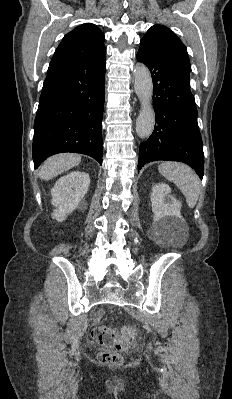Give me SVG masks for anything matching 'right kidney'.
Returning a JSON list of instances; mask_svg holds the SVG:
<instances>
[{
	"instance_id": "obj_1",
	"label": "right kidney",
	"mask_w": 232,
	"mask_h": 399,
	"mask_svg": "<svg viewBox=\"0 0 232 399\" xmlns=\"http://www.w3.org/2000/svg\"><path fill=\"white\" fill-rule=\"evenodd\" d=\"M89 186L90 178L86 172L76 170L59 178L51 190V203L56 207L53 209L52 217L57 221H63L76 207L86 209L88 203L84 200V196Z\"/></svg>"
}]
</instances>
